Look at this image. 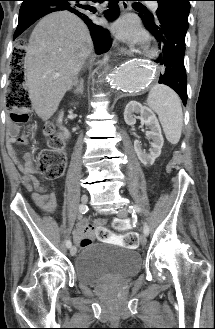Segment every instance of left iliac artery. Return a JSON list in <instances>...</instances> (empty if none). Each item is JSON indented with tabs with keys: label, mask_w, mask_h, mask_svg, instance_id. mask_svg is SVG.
Here are the masks:
<instances>
[{
	"label": "left iliac artery",
	"mask_w": 215,
	"mask_h": 329,
	"mask_svg": "<svg viewBox=\"0 0 215 329\" xmlns=\"http://www.w3.org/2000/svg\"><path fill=\"white\" fill-rule=\"evenodd\" d=\"M129 212L130 213H140L141 212V208L137 205H133V206H129ZM143 231L145 233V235H148L149 234V227L147 225V223L145 222L144 223V226H143Z\"/></svg>",
	"instance_id": "44dca946"
}]
</instances>
